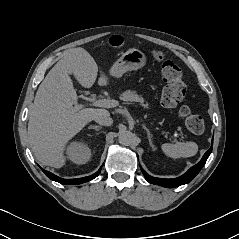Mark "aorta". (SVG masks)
I'll use <instances>...</instances> for the list:
<instances>
[{
  "instance_id": "1",
  "label": "aorta",
  "mask_w": 239,
  "mask_h": 239,
  "mask_svg": "<svg viewBox=\"0 0 239 239\" xmlns=\"http://www.w3.org/2000/svg\"><path fill=\"white\" fill-rule=\"evenodd\" d=\"M118 141L123 146H130L134 142V134L131 131H121Z\"/></svg>"
}]
</instances>
